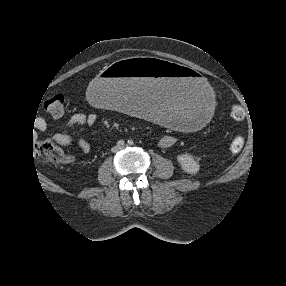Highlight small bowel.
<instances>
[{
    "mask_svg": "<svg viewBox=\"0 0 286 286\" xmlns=\"http://www.w3.org/2000/svg\"><path fill=\"white\" fill-rule=\"evenodd\" d=\"M96 121V117L92 114H75L71 116L68 120L69 126L79 125V124H93ZM49 124L48 119H41L38 123L37 129L39 131L45 130ZM54 140L61 145H76L80 148V150L87 154L91 150L90 144L78 137H74L67 134H56L54 136ZM176 143V137L174 135H165L160 139L159 145L162 148H169Z\"/></svg>",
    "mask_w": 286,
    "mask_h": 286,
    "instance_id": "small-bowel-1",
    "label": "small bowel"
}]
</instances>
